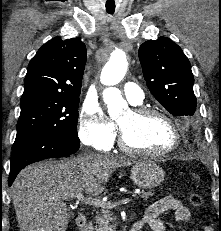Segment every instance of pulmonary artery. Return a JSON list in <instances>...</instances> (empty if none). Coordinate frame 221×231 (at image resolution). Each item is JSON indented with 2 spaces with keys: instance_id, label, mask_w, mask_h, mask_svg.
<instances>
[{
  "instance_id": "obj_1",
  "label": "pulmonary artery",
  "mask_w": 221,
  "mask_h": 231,
  "mask_svg": "<svg viewBox=\"0 0 221 231\" xmlns=\"http://www.w3.org/2000/svg\"><path fill=\"white\" fill-rule=\"evenodd\" d=\"M123 91L127 100L131 104H139L144 100V93L140 87L132 82H126L123 85Z\"/></svg>"
}]
</instances>
